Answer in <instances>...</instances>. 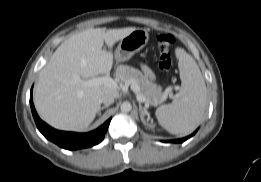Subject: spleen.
<instances>
[{
	"mask_svg": "<svg viewBox=\"0 0 261 182\" xmlns=\"http://www.w3.org/2000/svg\"><path fill=\"white\" fill-rule=\"evenodd\" d=\"M181 87L177 98L157 108L159 124L172 134L187 135L201 122L206 105L207 92L203 75L193 59L183 49H176Z\"/></svg>",
	"mask_w": 261,
	"mask_h": 182,
	"instance_id": "spleen-1",
	"label": "spleen"
}]
</instances>
